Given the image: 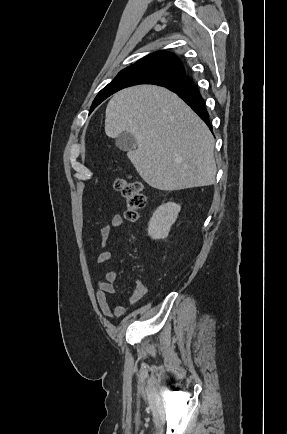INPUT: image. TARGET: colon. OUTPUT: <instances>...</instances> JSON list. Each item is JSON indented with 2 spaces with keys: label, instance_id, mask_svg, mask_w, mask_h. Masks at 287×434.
I'll list each match as a JSON object with an SVG mask.
<instances>
[{
  "label": "colon",
  "instance_id": "1",
  "mask_svg": "<svg viewBox=\"0 0 287 434\" xmlns=\"http://www.w3.org/2000/svg\"><path fill=\"white\" fill-rule=\"evenodd\" d=\"M115 190L121 193L125 199V217L129 222H136L142 216L145 206L143 185L131 177H117L113 181Z\"/></svg>",
  "mask_w": 287,
  "mask_h": 434
}]
</instances>
